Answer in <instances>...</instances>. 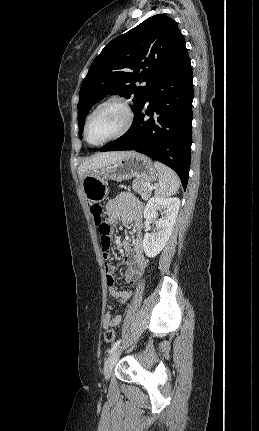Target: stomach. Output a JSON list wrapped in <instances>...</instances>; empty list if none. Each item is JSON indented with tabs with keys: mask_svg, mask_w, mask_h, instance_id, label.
Returning a JSON list of instances; mask_svg holds the SVG:
<instances>
[{
	"mask_svg": "<svg viewBox=\"0 0 259 431\" xmlns=\"http://www.w3.org/2000/svg\"><path fill=\"white\" fill-rule=\"evenodd\" d=\"M157 176L150 158L130 152L113 164L86 173L82 178V190L89 202L98 203L109 194L108 180L122 181L135 177L150 183L155 181Z\"/></svg>",
	"mask_w": 259,
	"mask_h": 431,
	"instance_id": "obj_1",
	"label": "stomach"
}]
</instances>
